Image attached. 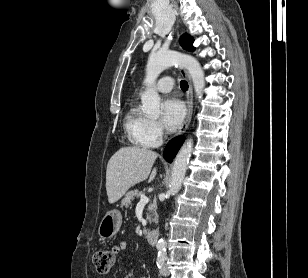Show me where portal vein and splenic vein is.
Instances as JSON below:
<instances>
[{"label":"portal vein and splenic vein","instance_id":"portal-vein-and-splenic-vein-1","mask_svg":"<svg viewBox=\"0 0 308 278\" xmlns=\"http://www.w3.org/2000/svg\"><path fill=\"white\" fill-rule=\"evenodd\" d=\"M148 202H149V198L143 194L140 197V201H139L138 205H145Z\"/></svg>","mask_w":308,"mask_h":278}]
</instances>
